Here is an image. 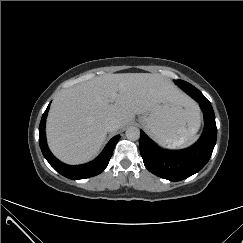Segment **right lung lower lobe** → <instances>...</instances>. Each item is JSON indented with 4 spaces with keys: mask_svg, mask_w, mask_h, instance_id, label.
<instances>
[{
    "mask_svg": "<svg viewBox=\"0 0 243 243\" xmlns=\"http://www.w3.org/2000/svg\"><path fill=\"white\" fill-rule=\"evenodd\" d=\"M49 106L47 107L46 111L44 112L40 126H39V144L41 151L46 158V160L49 162V164L61 175L69 178V179H85L89 178L95 175L100 174L104 169L107 167L109 160L112 156L114 147L116 143L118 142L120 136L117 135L113 137L102 153L93 161L77 165V166H70L66 165L62 162H60L58 159H56L52 153L49 151V148L47 146L46 142V136H45V123H46V117L48 114Z\"/></svg>",
    "mask_w": 243,
    "mask_h": 243,
    "instance_id": "1",
    "label": "right lung lower lobe"
}]
</instances>
